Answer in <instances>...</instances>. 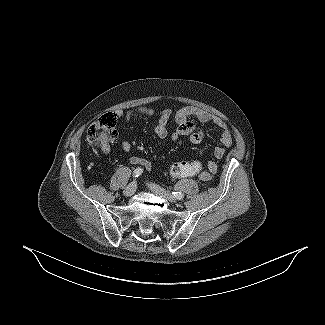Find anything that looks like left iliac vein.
Returning <instances> with one entry per match:
<instances>
[{
	"label": "left iliac vein",
	"mask_w": 325,
	"mask_h": 325,
	"mask_svg": "<svg viewBox=\"0 0 325 325\" xmlns=\"http://www.w3.org/2000/svg\"><path fill=\"white\" fill-rule=\"evenodd\" d=\"M148 187H149V189L151 191H153L157 195H160V196L166 198L168 201H170V202H175L176 201V198L173 196V194L167 192L166 190H164L160 186H158L156 184H153V183H149Z\"/></svg>",
	"instance_id": "1"
}]
</instances>
